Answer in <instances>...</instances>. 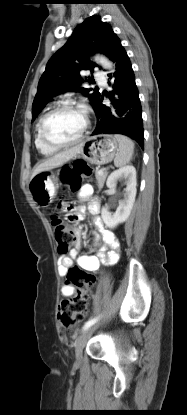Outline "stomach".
Segmentation results:
<instances>
[{
	"label": "stomach",
	"mask_w": 187,
	"mask_h": 415,
	"mask_svg": "<svg viewBox=\"0 0 187 415\" xmlns=\"http://www.w3.org/2000/svg\"><path fill=\"white\" fill-rule=\"evenodd\" d=\"M118 142L114 136L100 134L88 138L82 143L78 158L82 157L90 164L104 165L110 163L117 154ZM57 177L51 171H43L31 178L29 191L39 205H47L52 201L58 187Z\"/></svg>",
	"instance_id": "stomach-1"
}]
</instances>
